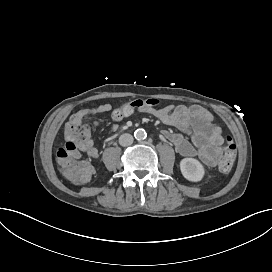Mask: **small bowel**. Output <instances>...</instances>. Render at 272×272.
<instances>
[{"instance_id": "small-bowel-1", "label": "small bowel", "mask_w": 272, "mask_h": 272, "mask_svg": "<svg viewBox=\"0 0 272 272\" xmlns=\"http://www.w3.org/2000/svg\"><path fill=\"white\" fill-rule=\"evenodd\" d=\"M82 109L84 108L78 111ZM89 109L95 115L110 112L113 106L110 103H105L96 108ZM139 111L148 113L165 124L178 128L183 133H176L169 130L162 131V137L173 144L180 156L186 158L197 157L207 167L212 168L216 166V158L211 154L210 148L221 145L224 141V135L222 126L214 121L210 110L194 104L190 106L166 105L159 108L144 107L139 109ZM93 125L94 127H99L101 122L94 120ZM184 134L189 136V138ZM83 153L91 159H98L100 157V152L94 145L90 151Z\"/></svg>"}]
</instances>
